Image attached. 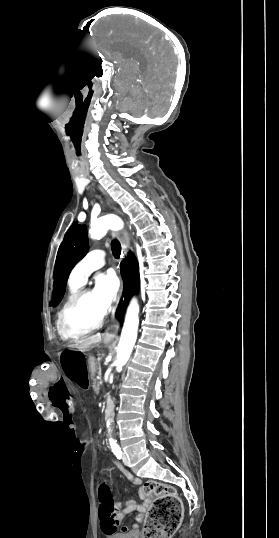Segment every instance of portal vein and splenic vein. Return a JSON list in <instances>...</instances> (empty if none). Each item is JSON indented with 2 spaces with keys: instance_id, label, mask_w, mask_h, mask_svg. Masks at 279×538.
<instances>
[{
  "instance_id": "18ae733b",
  "label": "portal vein and splenic vein",
  "mask_w": 279,
  "mask_h": 538,
  "mask_svg": "<svg viewBox=\"0 0 279 538\" xmlns=\"http://www.w3.org/2000/svg\"><path fill=\"white\" fill-rule=\"evenodd\" d=\"M99 383H100V385H103V382H102V380H99Z\"/></svg>"
}]
</instances>
